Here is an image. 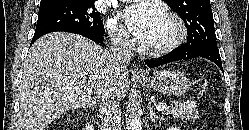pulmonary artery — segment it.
<instances>
[{
	"label": "pulmonary artery",
	"mask_w": 249,
	"mask_h": 130,
	"mask_svg": "<svg viewBox=\"0 0 249 130\" xmlns=\"http://www.w3.org/2000/svg\"><path fill=\"white\" fill-rule=\"evenodd\" d=\"M122 1H130V0H122Z\"/></svg>",
	"instance_id": "1"
}]
</instances>
